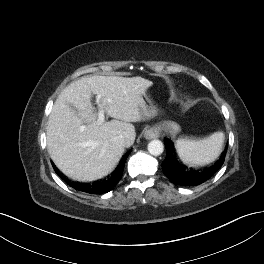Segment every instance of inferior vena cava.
I'll list each match as a JSON object with an SVG mask.
<instances>
[{
	"mask_svg": "<svg viewBox=\"0 0 264 264\" xmlns=\"http://www.w3.org/2000/svg\"><path fill=\"white\" fill-rule=\"evenodd\" d=\"M114 141L118 142L119 144H121L123 146H126V144H127V141H126V139L123 136L115 137Z\"/></svg>",
	"mask_w": 264,
	"mask_h": 264,
	"instance_id": "1",
	"label": "inferior vena cava"
}]
</instances>
